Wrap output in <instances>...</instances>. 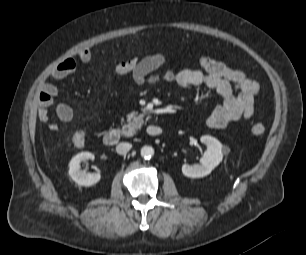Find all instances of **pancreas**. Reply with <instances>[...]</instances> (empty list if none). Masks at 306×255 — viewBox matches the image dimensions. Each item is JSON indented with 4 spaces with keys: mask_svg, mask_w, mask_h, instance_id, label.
Returning <instances> with one entry per match:
<instances>
[{
    "mask_svg": "<svg viewBox=\"0 0 306 255\" xmlns=\"http://www.w3.org/2000/svg\"><path fill=\"white\" fill-rule=\"evenodd\" d=\"M122 120V134L124 136H132L137 130L141 129L145 124L144 114H139L137 111H133L127 115V124H123Z\"/></svg>",
    "mask_w": 306,
    "mask_h": 255,
    "instance_id": "cf45deb5",
    "label": "pancreas"
}]
</instances>
